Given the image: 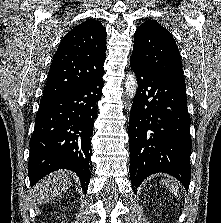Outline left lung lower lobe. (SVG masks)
<instances>
[{
	"mask_svg": "<svg viewBox=\"0 0 221 223\" xmlns=\"http://www.w3.org/2000/svg\"><path fill=\"white\" fill-rule=\"evenodd\" d=\"M138 89L130 113V179L133 191L154 173L191 179L190 117L185 82L156 74L130 60Z\"/></svg>",
	"mask_w": 221,
	"mask_h": 223,
	"instance_id": "obj_1",
	"label": "left lung lower lobe"
}]
</instances>
